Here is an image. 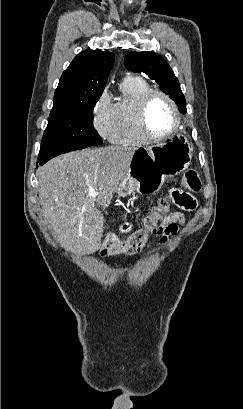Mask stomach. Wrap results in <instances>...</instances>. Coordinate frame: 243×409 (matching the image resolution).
Listing matches in <instances>:
<instances>
[{
	"label": "stomach",
	"instance_id": "0dacf381",
	"mask_svg": "<svg viewBox=\"0 0 243 409\" xmlns=\"http://www.w3.org/2000/svg\"><path fill=\"white\" fill-rule=\"evenodd\" d=\"M191 158L192 148L181 136L153 147L137 149L130 170L116 192L119 197L133 193L154 194L162 188L166 178L186 170Z\"/></svg>",
	"mask_w": 243,
	"mask_h": 409
}]
</instances>
